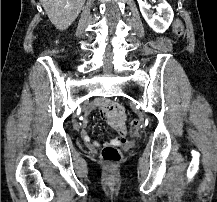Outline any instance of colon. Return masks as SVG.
<instances>
[{
    "mask_svg": "<svg viewBox=\"0 0 217 202\" xmlns=\"http://www.w3.org/2000/svg\"><path fill=\"white\" fill-rule=\"evenodd\" d=\"M174 31L177 35H181L183 33V23L180 19L174 24ZM140 121L138 119H133L130 125L129 133L130 135H137V128L139 127ZM102 160L110 165H115L121 160V152L118 147L115 146H105L101 152Z\"/></svg>",
    "mask_w": 217,
    "mask_h": 202,
    "instance_id": "obj_1",
    "label": "colon"
}]
</instances>
